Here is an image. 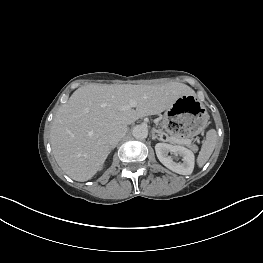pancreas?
<instances>
[{
  "instance_id": "1",
  "label": "pancreas",
  "mask_w": 263,
  "mask_h": 263,
  "mask_svg": "<svg viewBox=\"0 0 263 263\" xmlns=\"http://www.w3.org/2000/svg\"><path fill=\"white\" fill-rule=\"evenodd\" d=\"M170 134L172 135L173 138H175V140H173V139L171 140L172 143H174V144H184L187 147H189L190 149H192L193 151H197L198 150V147L195 144H193V143H189V144L181 143V142L177 141V139L178 140H186V139L181 138L178 135H173L172 133H170Z\"/></svg>"
}]
</instances>
